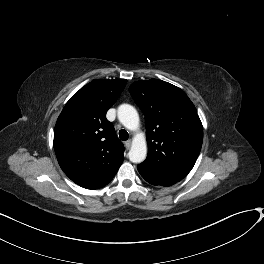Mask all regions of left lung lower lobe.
Returning a JSON list of instances; mask_svg holds the SVG:
<instances>
[{"label": "left lung lower lobe", "mask_w": 264, "mask_h": 264, "mask_svg": "<svg viewBox=\"0 0 264 264\" xmlns=\"http://www.w3.org/2000/svg\"><path fill=\"white\" fill-rule=\"evenodd\" d=\"M137 169L139 171V173L141 174V176L150 184L155 185V186H171L175 183H177L178 181L176 180H172V179H167V178H163L160 176H157L149 171H147L146 169H143L139 166H137Z\"/></svg>", "instance_id": "0a47b994"}]
</instances>
